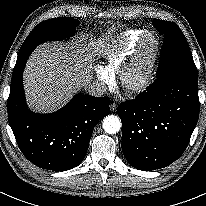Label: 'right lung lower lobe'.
Returning <instances> with one entry per match:
<instances>
[{
  "instance_id": "98d812e1",
  "label": "right lung lower lobe",
  "mask_w": 206,
  "mask_h": 206,
  "mask_svg": "<svg viewBox=\"0 0 206 206\" xmlns=\"http://www.w3.org/2000/svg\"><path fill=\"white\" fill-rule=\"evenodd\" d=\"M27 59L14 67L18 72L10 85L9 124L20 150L30 162L43 169L70 170L82 162L94 126L110 113V100L78 94L55 113L36 114L27 107L23 90Z\"/></svg>"
}]
</instances>
